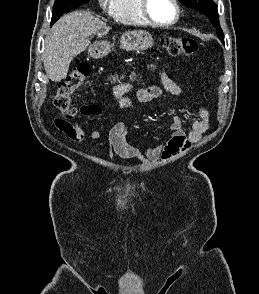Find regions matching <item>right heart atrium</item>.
I'll return each instance as SVG.
<instances>
[{
  "label": "right heart atrium",
  "instance_id": "right-heart-atrium-1",
  "mask_svg": "<svg viewBox=\"0 0 259 294\" xmlns=\"http://www.w3.org/2000/svg\"><path fill=\"white\" fill-rule=\"evenodd\" d=\"M112 1L113 0H98V3L102 9L109 10V9H111Z\"/></svg>",
  "mask_w": 259,
  "mask_h": 294
}]
</instances>
